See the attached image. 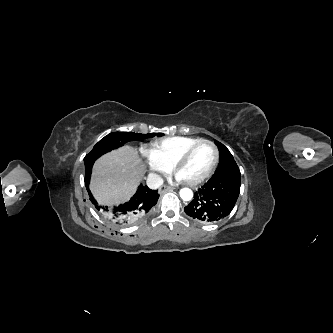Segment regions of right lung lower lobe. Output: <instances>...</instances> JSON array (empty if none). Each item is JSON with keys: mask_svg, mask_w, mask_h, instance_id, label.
Returning <instances> with one entry per match:
<instances>
[{"mask_svg": "<svg viewBox=\"0 0 333 333\" xmlns=\"http://www.w3.org/2000/svg\"><path fill=\"white\" fill-rule=\"evenodd\" d=\"M100 156L101 155L90 156L88 154L84 158L85 185L89 193L90 200L104 218L111 219L119 226H127L135 219L141 218L147 214L149 210L157 203L159 198L158 190H151L147 186L140 184L135 195L129 202L119 205L118 207H114L113 210L109 209L107 206H99L89 190V183L93 164Z\"/></svg>", "mask_w": 333, "mask_h": 333, "instance_id": "98d812e1", "label": "right lung lower lobe"}]
</instances>
